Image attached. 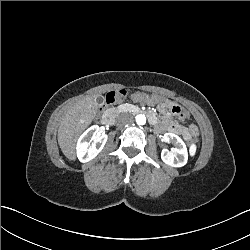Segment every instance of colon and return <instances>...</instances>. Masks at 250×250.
Masks as SVG:
<instances>
[{"label":"colon","mask_w":250,"mask_h":250,"mask_svg":"<svg viewBox=\"0 0 250 250\" xmlns=\"http://www.w3.org/2000/svg\"><path fill=\"white\" fill-rule=\"evenodd\" d=\"M127 90L126 89H119L115 91H110L105 95V103L110 105L116 102H120L124 100L127 97ZM149 96L145 93H139L138 99H148ZM176 113H180V110L178 108L175 109ZM180 118L184 119V115L180 114ZM186 144L190 149H195L197 147V142L195 141L194 137H189L186 141Z\"/></svg>","instance_id":"5ec220e1"}]
</instances>
